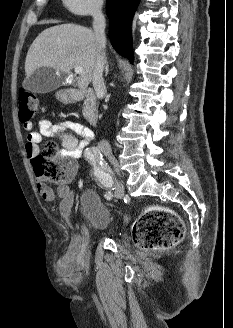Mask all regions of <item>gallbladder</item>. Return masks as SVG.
Masks as SVG:
<instances>
[{
	"label": "gallbladder",
	"mask_w": 233,
	"mask_h": 328,
	"mask_svg": "<svg viewBox=\"0 0 233 328\" xmlns=\"http://www.w3.org/2000/svg\"><path fill=\"white\" fill-rule=\"evenodd\" d=\"M63 78L51 67H40L23 81L26 90L33 93H48L61 86Z\"/></svg>",
	"instance_id": "1"
}]
</instances>
